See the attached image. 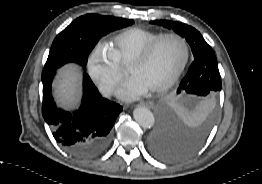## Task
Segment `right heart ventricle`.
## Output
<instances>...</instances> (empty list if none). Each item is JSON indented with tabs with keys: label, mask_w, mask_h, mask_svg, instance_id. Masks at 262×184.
<instances>
[{
	"label": "right heart ventricle",
	"mask_w": 262,
	"mask_h": 184,
	"mask_svg": "<svg viewBox=\"0 0 262 184\" xmlns=\"http://www.w3.org/2000/svg\"><path fill=\"white\" fill-rule=\"evenodd\" d=\"M160 35L143 28H128L112 39L109 52L120 67H128L142 49Z\"/></svg>",
	"instance_id": "obj_1"
}]
</instances>
